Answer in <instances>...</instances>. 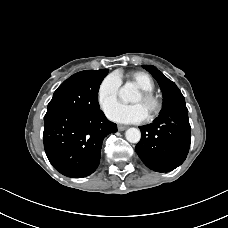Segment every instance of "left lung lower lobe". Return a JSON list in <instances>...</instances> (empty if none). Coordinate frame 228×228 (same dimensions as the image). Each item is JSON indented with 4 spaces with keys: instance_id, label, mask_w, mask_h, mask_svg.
I'll list each match as a JSON object with an SVG mask.
<instances>
[{
    "instance_id": "0a47b994",
    "label": "left lung lower lobe",
    "mask_w": 228,
    "mask_h": 228,
    "mask_svg": "<svg viewBox=\"0 0 228 228\" xmlns=\"http://www.w3.org/2000/svg\"><path fill=\"white\" fill-rule=\"evenodd\" d=\"M142 133L135 150L143 163L157 172H169L180 166L190 148V124L185 100L163 109Z\"/></svg>"
}]
</instances>
